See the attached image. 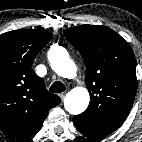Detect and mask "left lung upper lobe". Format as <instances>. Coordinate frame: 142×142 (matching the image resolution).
Returning a JSON list of instances; mask_svg holds the SVG:
<instances>
[{
    "mask_svg": "<svg viewBox=\"0 0 142 142\" xmlns=\"http://www.w3.org/2000/svg\"><path fill=\"white\" fill-rule=\"evenodd\" d=\"M80 52L91 102L73 123L103 138L114 132L129 114L136 91V61L130 45L112 29L81 25L64 31Z\"/></svg>",
    "mask_w": 142,
    "mask_h": 142,
    "instance_id": "obj_1",
    "label": "left lung upper lobe"
}]
</instances>
